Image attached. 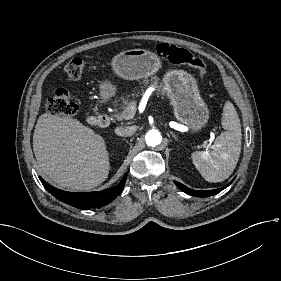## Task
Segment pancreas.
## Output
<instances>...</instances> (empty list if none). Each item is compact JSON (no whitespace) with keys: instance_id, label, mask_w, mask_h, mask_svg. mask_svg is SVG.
<instances>
[{"instance_id":"obj_1","label":"pancreas","mask_w":281,"mask_h":281,"mask_svg":"<svg viewBox=\"0 0 281 281\" xmlns=\"http://www.w3.org/2000/svg\"><path fill=\"white\" fill-rule=\"evenodd\" d=\"M153 80H154V81H153V83H151V85H154L155 87L158 88V81H159V78H158V77H154ZM145 83H148V81H146ZM142 91H143V90H142ZM129 104H130L129 100H123V104H122L121 107H120V109L122 110V112L117 113V114L115 115V117H116V119H117L118 121L122 120V116L124 115V112H125V110L127 109V107L129 106Z\"/></svg>"}]
</instances>
